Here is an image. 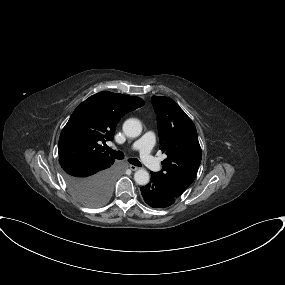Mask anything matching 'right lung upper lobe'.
Instances as JSON below:
<instances>
[{
  "label": "right lung upper lobe",
  "mask_w": 285,
  "mask_h": 285,
  "mask_svg": "<svg viewBox=\"0 0 285 285\" xmlns=\"http://www.w3.org/2000/svg\"><path fill=\"white\" fill-rule=\"evenodd\" d=\"M144 105L139 97L99 92L82 102L72 113L59 138L61 167L83 160L109 159L100 143L112 140L120 119Z\"/></svg>",
  "instance_id": "cb5924a9"
}]
</instances>
